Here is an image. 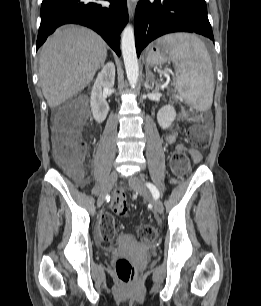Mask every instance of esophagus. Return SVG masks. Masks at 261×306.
<instances>
[{"mask_svg": "<svg viewBox=\"0 0 261 306\" xmlns=\"http://www.w3.org/2000/svg\"><path fill=\"white\" fill-rule=\"evenodd\" d=\"M127 8L129 16L132 18L135 12V3L133 1H128Z\"/></svg>", "mask_w": 261, "mask_h": 306, "instance_id": "1", "label": "esophagus"}]
</instances>
